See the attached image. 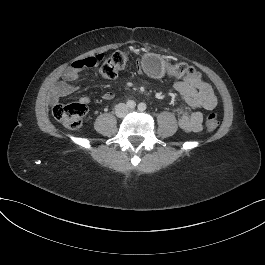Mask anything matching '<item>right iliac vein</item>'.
Instances as JSON below:
<instances>
[{
    "label": "right iliac vein",
    "instance_id": "right-iliac-vein-1",
    "mask_svg": "<svg viewBox=\"0 0 265 265\" xmlns=\"http://www.w3.org/2000/svg\"><path fill=\"white\" fill-rule=\"evenodd\" d=\"M124 110H125V106H124V105H120V106L118 107V113H123Z\"/></svg>",
    "mask_w": 265,
    "mask_h": 265
}]
</instances>
